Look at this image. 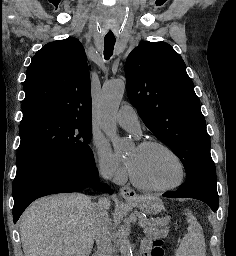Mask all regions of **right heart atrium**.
Instances as JSON below:
<instances>
[{"label": "right heart atrium", "mask_w": 236, "mask_h": 256, "mask_svg": "<svg viewBox=\"0 0 236 256\" xmlns=\"http://www.w3.org/2000/svg\"><path fill=\"white\" fill-rule=\"evenodd\" d=\"M97 169L105 180L121 185L128 179L127 169L122 166L104 145L95 144Z\"/></svg>", "instance_id": "1"}]
</instances>
